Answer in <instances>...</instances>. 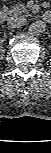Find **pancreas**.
<instances>
[{"label": "pancreas", "instance_id": "1", "mask_svg": "<svg viewBox=\"0 0 51 153\" xmlns=\"http://www.w3.org/2000/svg\"><path fill=\"white\" fill-rule=\"evenodd\" d=\"M9 15H19L25 13L29 15L28 10L24 4H16L8 10Z\"/></svg>", "mask_w": 51, "mask_h": 153}]
</instances>
